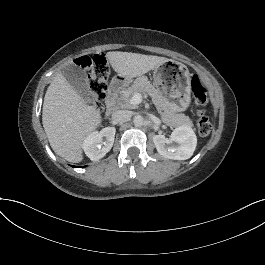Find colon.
Wrapping results in <instances>:
<instances>
[{
	"label": "colon",
	"mask_w": 265,
	"mask_h": 265,
	"mask_svg": "<svg viewBox=\"0 0 265 265\" xmlns=\"http://www.w3.org/2000/svg\"><path fill=\"white\" fill-rule=\"evenodd\" d=\"M75 64L89 70L88 87L91 101L96 107H99L107 92L106 81L109 75V67L106 56L103 53L82 56L75 61ZM191 88L198 106V132L200 135L206 136L212 130V124L205 113L207 91L197 75H194L191 79Z\"/></svg>",
	"instance_id": "colon-1"
}]
</instances>
